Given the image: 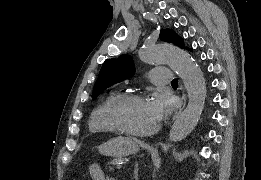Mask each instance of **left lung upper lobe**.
I'll return each mask as SVG.
<instances>
[{
  "instance_id": "5c2ea615",
  "label": "left lung upper lobe",
  "mask_w": 261,
  "mask_h": 180,
  "mask_svg": "<svg viewBox=\"0 0 261 180\" xmlns=\"http://www.w3.org/2000/svg\"><path fill=\"white\" fill-rule=\"evenodd\" d=\"M161 40L173 43L180 48H184L183 39L173 30L162 29L160 33ZM135 72L133 60L128 55H121L117 59H107L99 73V77L94 85L92 98H96L101 91L107 89L113 84L119 83L130 78Z\"/></svg>"
}]
</instances>
